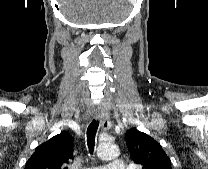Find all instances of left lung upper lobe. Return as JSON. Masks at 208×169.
Masks as SVG:
<instances>
[{"mask_svg":"<svg viewBox=\"0 0 208 169\" xmlns=\"http://www.w3.org/2000/svg\"><path fill=\"white\" fill-rule=\"evenodd\" d=\"M125 137L134 162L142 169H172L169 157L152 137L136 128L128 130Z\"/></svg>","mask_w":208,"mask_h":169,"instance_id":"5c2ea615","label":"left lung upper lobe"}]
</instances>
